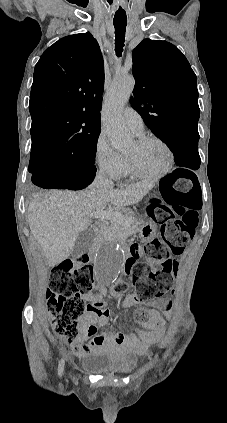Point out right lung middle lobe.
<instances>
[{"label": "right lung middle lobe", "mask_w": 227, "mask_h": 423, "mask_svg": "<svg viewBox=\"0 0 227 423\" xmlns=\"http://www.w3.org/2000/svg\"><path fill=\"white\" fill-rule=\"evenodd\" d=\"M98 136L99 133L89 135L68 148H54L31 152L29 172L35 173L45 170L44 164L52 159L68 162L76 166L75 169L96 172L94 159Z\"/></svg>", "instance_id": "1"}]
</instances>
